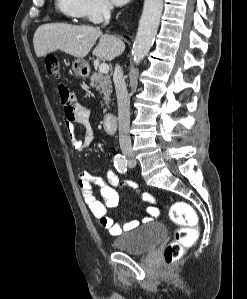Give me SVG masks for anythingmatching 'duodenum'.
<instances>
[{
  "label": "duodenum",
  "mask_w": 247,
  "mask_h": 299,
  "mask_svg": "<svg viewBox=\"0 0 247 299\" xmlns=\"http://www.w3.org/2000/svg\"><path fill=\"white\" fill-rule=\"evenodd\" d=\"M103 127L109 134H113L117 129V117L113 113H108L103 117Z\"/></svg>",
  "instance_id": "duodenum-1"
}]
</instances>
